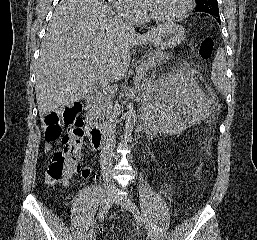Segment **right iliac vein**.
Returning <instances> with one entry per match:
<instances>
[{
  "label": "right iliac vein",
  "instance_id": "1",
  "mask_svg": "<svg viewBox=\"0 0 257 240\" xmlns=\"http://www.w3.org/2000/svg\"><path fill=\"white\" fill-rule=\"evenodd\" d=\"M112 191V186H107L105 187L104 191H103V196H102V199H101V204H100V210L102 211L106 206L107 204L110 202V192ZM92 230H90L89 232H87L82 240H91L92 238Z\"/></svg>",
  "mask_w": 257,
  "mask_h": 240
}]
</instances>
